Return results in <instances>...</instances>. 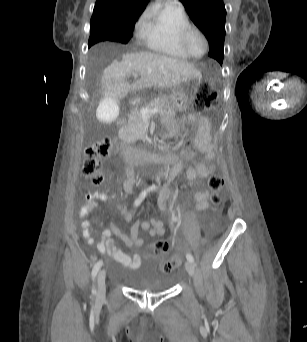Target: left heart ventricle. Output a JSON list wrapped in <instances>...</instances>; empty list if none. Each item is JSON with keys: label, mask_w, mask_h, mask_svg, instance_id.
Segmentation results:
<instances>
[{"label": "left heart ventricle", "mask_w": 307, "mask_h": 342, "mask_svg": "<svg viewBox=\"0 0 307 342\" xmlns=\"http://www.w3.org/2000/svg\"><path fill=\"white\" fill-rule=\"evenodd\" d=\"M187 48L191 55L200 57L205 49L203 38L198 30L192 31L187 38Z\"/></svg>", "instance_id": "obj_1"}]
</instances>
